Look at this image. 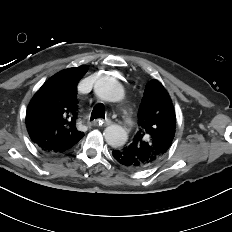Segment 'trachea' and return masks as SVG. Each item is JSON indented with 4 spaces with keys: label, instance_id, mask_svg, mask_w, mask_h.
Wrapping results in <instances>:
<instances>
[{
    "label": "trachea",
    "instance_id": "1",
    "mask_svg": "<svg viewBox=\"0 0 232 232\" xmlns=\"http://www.w3.org/2000/svg\"><path fill=\"white\" fill-rule=\"evenodd\" d=\"M105 116V107L103 104H96L92 110L90 120H94L97 118H104Z\"/></svg>",
    "mask_w": 232,
    "mask_h": 232
}]
</instances>
